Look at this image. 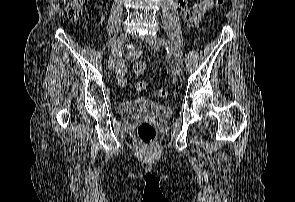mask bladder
Listing matches in <instances>:
<instances>
[{
  "instance_id": "1",
  "label": "bladder",
  "mask_w": 295,
  "mask_h": 202,
  "mask_svg": "<svg viewBox=\"0 0 295 202\" xmlns=\"http://www.w3.org/2000/svg\"><path fill=\"white\" fill-rule=\"evenodd\" d=\"M120 113L125 117L144 115L164 120L171 117L172 110L166 104L143 98L123 103Z\"/></svg>"
}]
</instances>
